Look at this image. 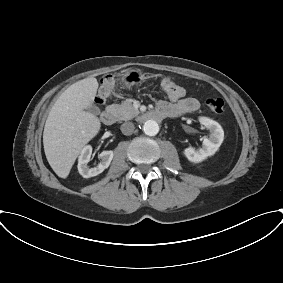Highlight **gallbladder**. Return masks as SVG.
I'll use <instances>...</instances> for the list:
<instances>
[{"label": "gallbladder", "instance_id": "bac80fb5", "mask_svg": "<svg viewBox=\"0 0 283 283\" xmlns=\"http://www.w3.org/2000/svg\"><path fill=\"white\" fill-rule=\"evenodd\" d=\"M87 110H88V112H90V113H92L94 115H97V114L100 113L99 108L94 106V105L89 107V108H87Z\"/></svg>", "mask_w": 283, "mask_h": 283}]
</instances>
